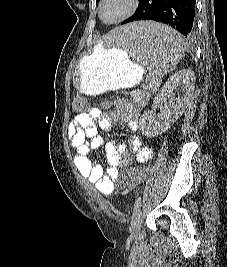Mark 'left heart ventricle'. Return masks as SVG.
Returning a JSON list of instances; mask_svg holds the SVG:
<instances>
[{"mask_svg":"<svg viewBox=\"0 0 227 267\" xmlns=\"http://www.w3.org/2000/svg\"><path fill=\"white\" fill-rule=\"evenodd\" d=\"M128 7V0H107L103 8V17L110 21L122 15Z\"/></svg>","mask_w":227,"mask_h":267,"instance_id":"obj_1","label":"left heart ventricle"}]
</instances>
